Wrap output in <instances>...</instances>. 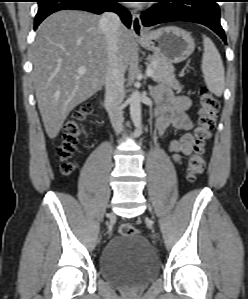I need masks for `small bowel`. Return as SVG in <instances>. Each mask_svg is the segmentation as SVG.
I'll list each match as a JSON object with an SVG mask.
<instances>
[{"mask_svg":"<svg viewBox=\"0 0 248 299\" xmlns=\"http://www.w3.org/2000/svg\"><path fill=\"white\" fill-rule=\"evenodd\" d=\"M155 96L159 108V118L156 124L158 132L163 133L170 126L186 131L180 138L172 140L169 144L173 159L179 161L182 156L190 155L194 146V136L191 132L192 122L187 115L191 102L184 95H176L166 85H158L155 88Z\"/></svg>","mask_w":248,"mask_h":299,"instance_id":"small-bowel-1","label":"small bowel"}]
</instances>
